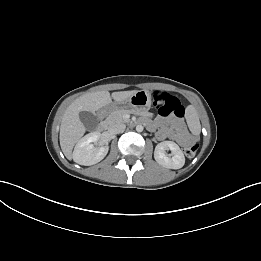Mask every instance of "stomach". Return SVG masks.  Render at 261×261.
Returning <instances> with one entry per match:
<instances>
[{
    "label": "stomach",
    "mask_w": 261,
    "mask_h": 261,
    "mask_svg": "<svg viewBox=\"0 0 261 261\" xmlns=\"http://www.w3.org/2000/svg\"><path fill=\"white\" fill-rule=\"evenodd\" d=\"M151 103V93L147 90H139L128 99L121 102L113 103L110 107L107 108V111L123 108H132L139 111H147L150 109Z\"/></svg>",
    "instance_id": "1"
}]
</instances>
